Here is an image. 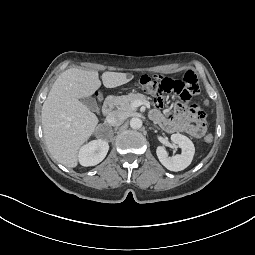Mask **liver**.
Wrapping results in <instances>:
<instances>
[{
	"label": "liver",
	"instance_id": "6515ba94",
	"mask_svg": "<svg viewBox=\"0 0 255 255\" xmlns=\"http://www.w3.org/2000/svg\"><path fill=\"white\" fill-rule=\"evenodd\" d=\"M133 77L120 72H104L102 82L106 88H115ZM100 86L97 71L67 69L56 79L42 106L46 145L52 157L66 167L77 166L79 149L98 124L97 116L80 99L90 97Z\"/></svg>",
	"mask_w": 255,
	"mask_h": 255
}]
</instances>
